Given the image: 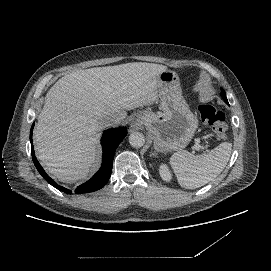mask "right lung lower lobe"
I'll list each match as a JSON object with an SVG mask.
<instances>
[{
	"label": "right lung lower lobe",
	"instance_id": "98d812e1",
	"mask_svg": "<svg viewBox=\"0 0 271 271\" xmlns=\"http://www.w3.org/2000/svg\"><path fill=\"white\" fill-rule=\"evenodd\" d=\"M34 123L31 127L30 131V141L32 144V131H33ZM127 134V130L125 127L121 128H116V129H109L105 131L102 135L101 138V143L103 147V161H102V166L99 169V171L87 182L84 184L78 186L75 189V193L80 194V193H88V192H93L96 190L101 189L104 187V185L108 182L110 176H111V171H112V164H113V157L114 153L116 151L117 146L121 143V141L124 139V137ZM31 154L33 158V162L39 171V173L42 175V177L53 187L56 189L63 191L67 194H71V190H68L57 183L53 181L44 171L42 166L39 164L37 158L35 157L34 153V148L33 145L31 147Z\"/></svg>",
	"mask_w": 271,
	"mask_h": 271
}]
</instances>
